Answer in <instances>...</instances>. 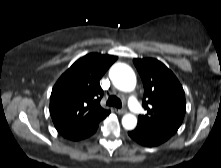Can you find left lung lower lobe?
I'll use <instances>...</instances> for the list:
<instances>
[{"label": "left lung lower lobe", "instance_id": "left-lung-lower-lobe-1", "mask_svg": "<svg viewBox=\"0 0 221 168\" xmlns=\"http://www.w3.org/2000/svg\"><path fill=\"white\" fill-rule=\"evenodd\" d=\"M128 134L137 143L147 147L160 145L170 138L163 133L139 125Z\"/></svg>", "mask_w": 221, "mask_h": 168}]
</instances>
